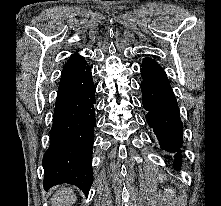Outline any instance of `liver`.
Wrapping results in <instances>:
<instances>
[{"label":"liver","instance_id":"obj_1","mask_svg":"<svg viewBox=\"0 0 221 206\" xmlns=\"http://www.w3.org/2000/svg\"><path fill=\"white\" fill-rule=\"evenodd\" d=\"M76 196L71 188H59L51 200L52 206H72L76 201Z\"/></svg>","mask_w":221,"mask_h":206}]
</instances>
